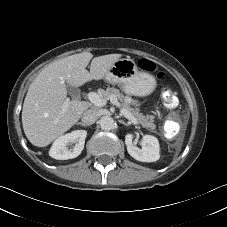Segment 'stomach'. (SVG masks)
Segmentation results:
<instances>
[{
	"instance_id": "0dacf381",
	"label": "stomach",
	"mask_w": 227,
	"mask_h": 227,
	"mask_svg": "<svg viewBox=\"0 0 227 227\" xmlns=\"http://www.w3.org/2000/svg\"><path fill=\"white\" fill-rule=\"evenodd\" d=\"M104 78L111 84H118L126 94L133 96H148L156 88L155 78L139 71L134 60L129 57L118 59Z\"/></svg>"
}]
</instances>
